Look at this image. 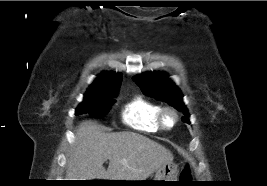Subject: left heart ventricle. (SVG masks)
Instances as JSON below:
<instances>
[{
	"mask_svg": "<svg viewBox=\"0 0 267 186\" xmlns=\"http://www.w3.org/2000/svg\"><path fill=\"white\" fill-rule=\"evenodd\" d=\"M173 120H174V117L172 114H167L166 117H165V122L170 125L173 123Z\"/></svg>",
	"mask_w": 267,
	"mask_h": 186,
	"instance_id": "b2bd125f",
	"label": "left heart ventricle"
}]
</instances>
